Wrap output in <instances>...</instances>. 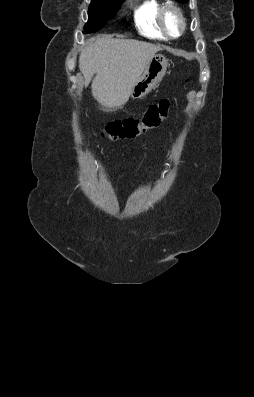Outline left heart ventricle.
<instances>
[{"instance_id":"1","label":"left heart ventricle","mask_w":254,"mask_h":397,"mask_svg":"<svg viewBox=\"0 0 254 397\" xmlns=\"http://www.w3.org/2000/svg\"><path fill=\"white\" fill-rule=\"evenodd\" d=\"M165 24L171 34L177 35L180 31V20L173 12H168L165 17Z\"/></svg>"}]
</instances>
